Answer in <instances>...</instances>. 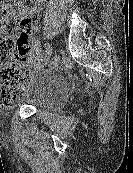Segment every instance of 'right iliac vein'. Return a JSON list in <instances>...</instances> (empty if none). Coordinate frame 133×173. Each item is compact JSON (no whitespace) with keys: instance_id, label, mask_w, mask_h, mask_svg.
Wrapping results in <instances>:
<instances>
[{"instance_id":"63e3f726","label":"right iliac vein","mask_w":133,"mask_h":173,"mask_svg":"<svg viewBox=\"0 0 133 173\" xmlns=\"http://www.w3.org/2000/svg\"><path fill=\"white\" fill-rule=\"evenodd\" d=\"M51 55H52V51H51L50 53H48V54L38 63L37 68H39V69L44 68V67L48 64V62H49V60H50V58H51Z\"/></svg>"}]
</instances>
